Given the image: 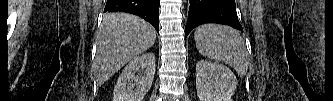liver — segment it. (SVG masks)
<instances>
[{"instance_id":"6515ba94","label":"liver","mask_w":333,"mask_h":101,"mask_svg":"<svg viewBox=\"0 0 333 101\" xmlns=\"http://www.w3.org/2000/svg\"><path fill=\"white\" fill-rule=\"evenodd\" d=\"M155 41V29L143 19L127 13L105 15L93 63L98 85H102L126 63L153 46Z\"/></svg>"}]
</instances>
